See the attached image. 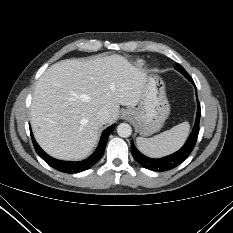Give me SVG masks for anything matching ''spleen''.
<instances>
[{
	"label": "spleen",
	"mask_w": 233,
	"mask_h": 233,
	"mask_svg": "<svg viewBox=\"0 0 233 233\" xmlns=\"http://www.w3.org/2000/svg\"><path fill=\"white\" fill-rule=\"evenodd\" d=\"M189 131V123L183 122L152 138L137 137L136 144L143 154L159 158L178 150L186 141Z\"/></svg>",
	"instance_id": "obj_1"
}]
</instances>
